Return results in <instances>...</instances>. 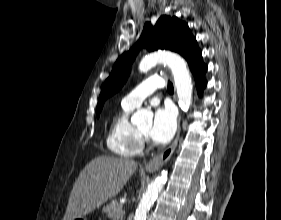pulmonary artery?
I'll return each mask as SVG.
<instances>
[{
	"label": "pulmonary artery",
	"mask_w": 281,
	"mask_h": 220,
	"mask_svg": "<svg viewBox=\"0 0 281 220\" xmlns=\"http://www.w3.org/2000/svg\"><path fill=\"white\" fill-rule=\"evenodd\" d=\"M165 86L163 78L160 76L154 75L135 88H133L124 98L123 101L125 104L131 107L140 106L145 99H147L150 95H152L157 89H161Z\"/></svg>",
	"instance_id": "e3ab8cb5"
}]
</instances>
